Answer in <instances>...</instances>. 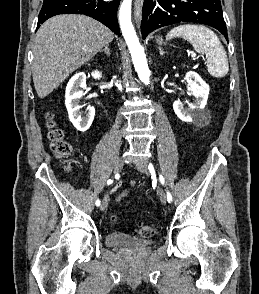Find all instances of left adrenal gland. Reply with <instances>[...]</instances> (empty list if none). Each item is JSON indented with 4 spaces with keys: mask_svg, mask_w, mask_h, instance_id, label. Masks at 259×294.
I'll return each instance as SVG.
<instances>
[{
    "mask_svg": "<svg viewBox=\"0 0 259 294\" xmlns=\"http://www.w3.org/2000/svg\"><path fill=\"white\" fill-rule=\"evenodd\" d=\"M159 52H160V56L165 54V52L161 48H159Z\"/></svg>",
    "mask_w": 259,
    "mask_h": 294,
    "instance_id": "left-adrenal-gland-1",
    "label": "left adrenal gland"
}]
</instances>
